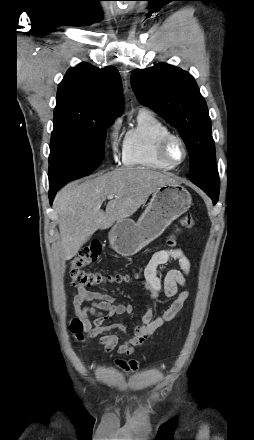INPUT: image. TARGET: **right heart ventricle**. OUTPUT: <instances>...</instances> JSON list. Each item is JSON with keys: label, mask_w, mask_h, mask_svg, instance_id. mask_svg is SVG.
I'll list each match as a JSON object with an SVG mask.
<instances>
[{"label": "right heart ventricle", "mask_w": 254, "mask_h": 440, "mask_svg": "<svg viewBox=\"0 0 254 440\" xmlns=\"http://www.w3.org/2000/svg\"><path fill=\"white\" fill-rule=\"evenodd\" d=\"M171 133L169 127L153 113L141 110L137 123L125 134L122 163L125 167L170 171L171 167L157 156V144L162 136Z\"/></svg>", "instance_id": "right-heart-ventricle-1"}]
</instances>
